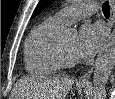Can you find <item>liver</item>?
I'll return each instance as SVG.
<instances>
[{
    "instance_id": "1",
    "label": "liver",
    "mask_w": 115,
    "mask_h": 99,
    "mask_svg": "<svg viewBox=\"0 0 115 99\" xmlns=\"http://www.w3.org/2000/svg\"><path fill=\"white\" fill-rule=\"evenodd\" d=\"M74 79L60 76L25 77L14 86L18 99H65Z\"/></svg>"
}]
</instances>
